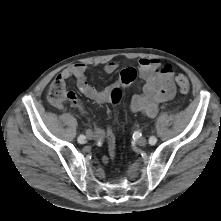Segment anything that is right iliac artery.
I'll list each match as a JSON object with an SVG mask.
<instances>
[{"instance_id": "obj_1", "label": "right iliac artery", "mask_w": 221, "mask_h": 221, "mask_svg": "<svg viewBox=\"0 0 221 221\" xmlns=\"http://www.w3.org/2000/svg\"><path fill=\"white\" fill-rule=\"evenodd\" d=\"M85 136L84 135H80L79 137H78V142L79 143H85Z\"/></svg>"}]
</instances>
